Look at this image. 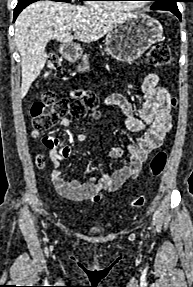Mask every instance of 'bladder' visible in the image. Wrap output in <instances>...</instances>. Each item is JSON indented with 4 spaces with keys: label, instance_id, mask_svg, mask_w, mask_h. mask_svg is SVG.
I'll use <instances>...</instances> for the list:
<instances>
[{
    "label": "bladder",
    "instance_id": "1",
    "mask_svg": "<svg viewBox=\"0 0 193 287\" xmlns=\"http://www.w3.org/2000/svg\"><path fill=\"white\" fill-rule=\"evenodd\" d=\"M87 232L92 234V235H98L101 233V228L98 226H88Z\"/></svg>",
    "mask_w": 193,
    "mask_h": 287
}]
</instances>
